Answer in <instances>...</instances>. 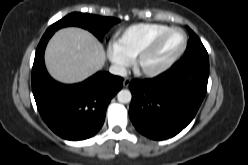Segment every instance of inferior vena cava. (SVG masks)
Here are the masks:
<instances>
[{
  "label": "inferior vena cava",
  "mask_w": 248,
  "mask_h": 165,
  "mask_svg": "<svg viewBox=\"0 0 248 165\" xmlns=\"http://www.w3.org/2000/svg\"><path fill=\"white\" fill-rule=\"evenodd\" d=\"M109 72L113 75H118L121 77H126L127 76V70L125 67L123 66H119V65H112L109 68Z\"/></svg>",
  "instance_id": "obj_1"
}]
</instances>
